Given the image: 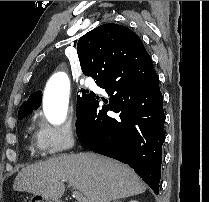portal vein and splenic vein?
<instances>
[{
	"label": "portal vein and splenic vein",
	"instance_id": "portal-vein-and-splenic-vein-1",
	"mask_svg": "<svg viewBox=\"0 0 209 202\" xmlns=\"http://www.w3.org/2000/svg\"><path fill=\"white\" fill-rule=\"evenodd\" d=\"M73 195L75 197V199L77 200V202H86L83 194L80 191H73Z\"/></svg>",
	"mask_w": 209,
	"mask_h": 202
}]
</instances>
